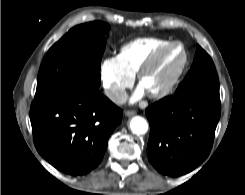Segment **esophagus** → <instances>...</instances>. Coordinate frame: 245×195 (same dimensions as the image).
I'll return each mask as SVG.
<instances>
[{"instance_id":"34e87169","label":"esophagus","mask_w":245,"mask_h":195,"mask_svg":"<svg viewBox=\"0 0 245 195\" xmlns=\"http://www.w3.org/2000/svg\"><path fill=\"white\" fill-rule=\"evenodd\" d=\"M125 115L127 117H132V116L136 115V112L133 110H128V111H125Z\"/></svg>"}]
</instances>
